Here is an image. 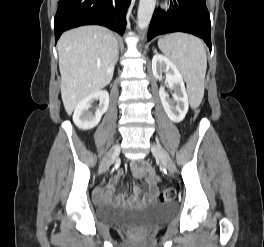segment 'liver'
I'll return each instance as SVG.
<instances>
[{
	"label": "liver",
	"instance_id": "6515ba94",
	"mask_svg": "<svg viewBox=\"0 0 264 247\" xmlns=\"http://www.w3.org/2000/svg\"><path fill=\"white\" fill-rule=\"evenodd\" d=\"M57 50L61 97L70 115L82 99L112 80L118 43L105 27L83 26L63 33Z\"/></svg>",
	"mask_w": 264,
	"mask_h": 247
}]
</instances>
